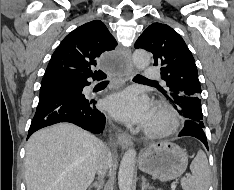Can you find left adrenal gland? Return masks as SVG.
<instances>
[{
	"label": "left adrenal gland",
	"mask_w": 234,
	"mask_h": 190,
	"mask_svg": "<svg viewBox=\"0 0 234 190\" xmlns=\"http://www.w3.org/2000/svg\"><path fill=\"white\" fill-rule=\"evenodd\" d=\"M141 180H142V188H141V190H146V189H148V190H151V189H154V187H152L147 181H146V179H145V177H141Z\"/></svg>",
	"instance_id": "a2214340"
}]
</instances>
